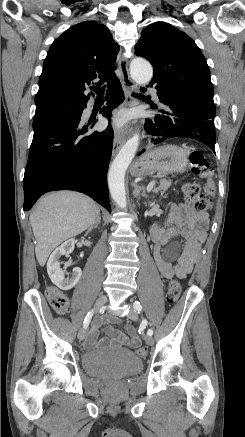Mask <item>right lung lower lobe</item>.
I'll use <instances>...</instances> for the list:
<instances>
[{"mask_svg": "<svg viewBox=\"0 0 245 437\" xmlns=\"http://www.w3.org/2000/svg\"><path fill=\"white\" fill-rule=\"evenodd\" d=\"M124 100L120 82L110 87L107 106L100 113L110 121L111 111ZM79 110L47 119L34 128L33 141L24 174V211L37 199L54 190H74L87 194L111 212L107 170L112 154L113 130L86 135ZM96 121H93V125Z\"/></svg>", "mask_w": 245, "mask_h": 437, "instance_id": "right-lung-lower-lobe-1", "label": "right lung lower lobe"}]
</instances>
